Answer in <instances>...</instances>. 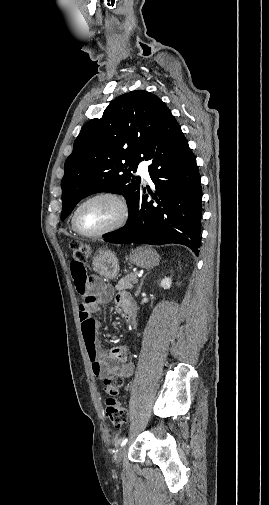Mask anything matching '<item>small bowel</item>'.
<instances>
[{
	"mask_svg": "<svg viewBox=\"0 0 269 505\" xmlns=\"http://www.w3.org/2000/svg\"><path fill=\"white\" fill-rule=\"evenodd\" d=\"M83 267L84 262L82 259L72 260L71 276L75 285V293L79 297V319L93 374L99 379L117 376L123 381L129 378L134 371V364L127 357V349L124 346L114 347L110 350L103 349L97 338L100 325L92 317V315H101L104 312L101 302H106L110 299L112 289L99 280H93L91 288L95 292L94 296L96 298H92L93 294L89 289V277ZM116 302L123 308L126 306L133 308L131 299L127 293H119L116 296Z\"/></svg>",
	"mask_w": 269,
	"mask_h": 505,
	"instance_id": "small-bowel-1",
	"label": "small bowel"
}]
</instances>
